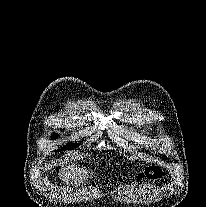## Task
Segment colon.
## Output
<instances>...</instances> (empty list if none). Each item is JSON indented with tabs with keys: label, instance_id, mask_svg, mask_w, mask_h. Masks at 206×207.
<instances>
[{
	"label": "colon",
	"instance_id": "colon-1",
	"mask_svg": "<svg viewBox=\"0 0 206 207\" xmlns=\"http://www.w3.org/2000/svg\"><path fill=\"white\" fill-rule=\"evenodd\" d=\"M163 176H164V172L161 168L150 167L139 174L138 180L155 181L161 179Z\"/></svg>",
	"mask_w": 206,
	"mask_h": 207
}]
</instances>
